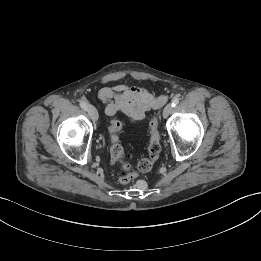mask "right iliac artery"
Returning <instances> with one entry per match:
<instances>
[{
	"label": "right iliac artery",
	"instance_id": "obj_1",
	"mask_svg": "<svg viewBox=\"0 0 261 261\" xmlns=\"http://www.w3.org/2000/svg\"><path fill=\"white\" fill-rule=\"evenodd\" d=\"M79 105H80V107H81L82 109L87 110V104H86V102L80 101V102H79Z\"/></svg>",
	"mask_w": 261,
	"mask_h": 261
}]
</instances>
